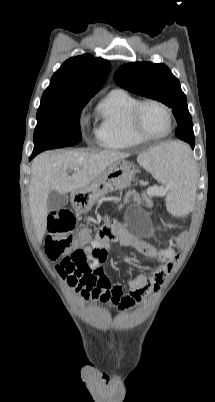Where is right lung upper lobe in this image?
Instances as JSON below:
<instances>
[{
	"label": "right lung upper lobe",
	"instance_id": "1",
	"mask_svg": "<svg viewBox=\"0 0 215 402\" xmlns=\"http://www.w3.org/2000/svg\"><path fill=\"white\" fill-rule=\"evenodd\" d=\"M110 63L84 54L65 61L54 73L42 97H93L104 85Z\"/></svg>",
	"mask_w": 215,
	"mask_h": 402
}]
</instances>
